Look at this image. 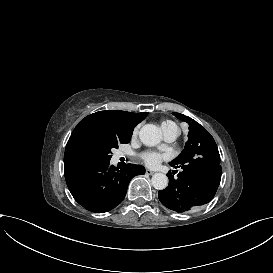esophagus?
<instances>
[{
	"instance_id": "obj_1",
	"label": "esophagus",
	"mask_w": 273,
	"mask_h": 273,
	"mask_svg": "<svg viewBox=\"0 0 273 273\" xmlns=\"http://www.w3.org/2000/svg\"><path fill=\"white\" fill-rule=\"evenodd\" d=\"M145 173H146L147 175H152V174H154V171H152V170H150V169H146Z\"/></svg>"
}]
</instances>
